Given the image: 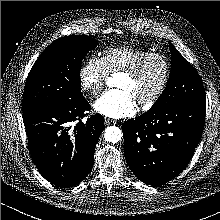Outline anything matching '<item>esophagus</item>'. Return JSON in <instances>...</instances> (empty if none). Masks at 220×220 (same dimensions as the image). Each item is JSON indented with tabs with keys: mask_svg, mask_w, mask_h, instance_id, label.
<instances>
[{
	"mask_svg": "<svg viewBox=\"0 0 220 220\" xmlns=\"http://www.w3.org/2000/svg\"><path fill=\"white\" fill-rule=\"evenodd\" d=\"M104 121H105L106 125H110V124H113L115 122L114 120H112L110 118H107V117L104 118Z\"/></svg>",
	"mask_w": 220,
	"mask_h": 220,
	"instance_id": "1",
	"label": "esophagus"
}]
</instances>
